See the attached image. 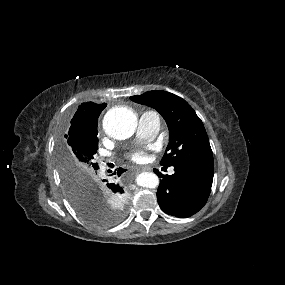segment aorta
I'll return each instance as SVG.
<instances>
[{
  "label": "aorta",
  "mask_w": 285,
  "mask_h": 285,
  "mask_svg": "<svg viewBox=\"0 0 285 285\" xmlns=\"http://www.w3.org/2000/svg\"><path fill=\"white\" fill-rule=\"evenodd\" d=\"M137 126L135 114L127 107H115L110 109L103 120L105 132L115 139H126L130 137ZM136 182L139 186L154 189L159 185V178L155 173L142 172Z\"/></svg>",
  "instance_id": "1"
}]
</instances>
